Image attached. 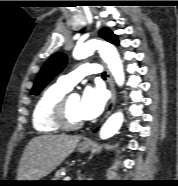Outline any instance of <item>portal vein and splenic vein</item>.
<instances>
[{
	"label": "portal vein and splenic vein",
	"mask_w": 178,
	"mask_h": 186,
	"mask_svg": "<svg viewBox=\"0 0 178 186\" xmlns=\"http://www.w3.org/2000/svg\"><path fill=\"white\" fill-rule=\"evenodd\" d=\"M64 180H65V181H70V176H66V177L64 178Z\"/></svg>",
	"instance_id": "1"
}]
</instances>
